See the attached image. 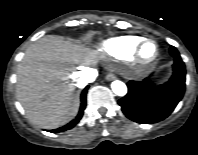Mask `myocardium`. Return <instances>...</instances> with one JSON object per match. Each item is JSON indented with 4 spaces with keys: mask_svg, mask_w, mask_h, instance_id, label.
Here are the masks:
<instances>
[{
    "mask_svg": "<svg viewBox=\"0 0 198 155\" xmlns=\"http://www.w3.org/2000/svg\"><path fill=\"white\" fill-rule=\"evenodd\" d=\"M157 56H158V50L154 46V52H153V54L150 57H148V58H146L144 60H141V63L144 64V65H150V64H152L156 60Z\"/></svg>",
    "mask_w": 198,
    "mask_h": 155,
    "instance_id": "myocardium-1",
    "label": "myocardium"
}]
</instances>
